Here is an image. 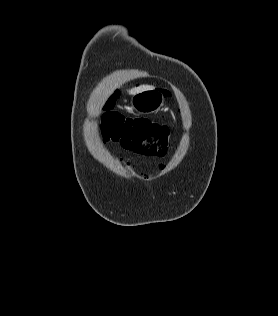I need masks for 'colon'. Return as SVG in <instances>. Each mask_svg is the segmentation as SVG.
<instances>
[{
  "label": "colon",
  "instance_id": "1",
  "mask_svg": "<svg viewBox=\"0 0 278 316\" xmlns=\"http://www.w3.org/2000/svg\"><path fill=\"white\" fill-rule=\"evenodd\" d=\"M104 141H112L127 150L148 156L166 155L171 131L168 126L147 119H133L108 112L101 120Z\"/></svg>",
  "mask_w": 278,
  "mask_h": 316
}]
</instances>
